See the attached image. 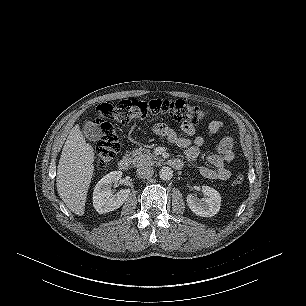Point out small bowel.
<instances>
[{
    "instance_id": "c3829d8e",
    "label": "small bowel",
    "mask_w": 306,
    "mask_h": 306,
    "mask_svg": "<svg viewBox=\"0 0 306 306\" xmlns=\"http://www.w3.org/2000/svg\"><path fill=\"white\" fill-rule=\"evenodd\" d=\"M156 127L161 129L157 134L167 138L170 143L185 150L184 153L187 160L193 161L198 157L199 150L203 146L205 139L200 135L191 139L195 134V128L192 124H181V130L185 136L178 135L165 124H157ZM222 128L223 122L221 121L211 120L207 122V131L210 135L218 133ZM233 147L234 140L232 137L227 136L221 139L215 147V153L208 157V162L213 167H201V175L209 180H228L231 177V171L227 168V164L235 158Z\"/></svg>"
}]
</instances>
